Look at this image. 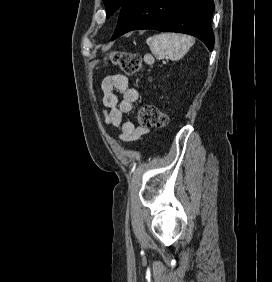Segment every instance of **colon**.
<instances>
[{
    "label": "colon",
    "mask_w": 272,
    "mask_h": 282,
    "mask_svg": "<svg viewBox=\"0 0 272 282\" xmlns=\"http://www.w3.org/2000/svg\"><path fill=\"white\" fill-rule=\"evenodd\" d=\"M111 62L118 65L125 73L135 74L141 71L143 63L138 54L114 52L109 55ZM138 122L142 126L165 128L169 125L168 115L156 107L144 105L138 109Z\"/></svg>",
    "instance_id": "obj_1"
}]
</instances>
